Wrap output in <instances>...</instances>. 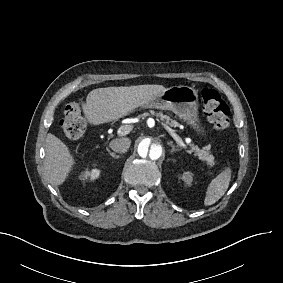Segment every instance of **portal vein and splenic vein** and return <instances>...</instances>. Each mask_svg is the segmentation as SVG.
<instances>
[{"label":"portal vein and splenic vein","mask_w":283,"mask_h":283,"mask_svg":"<svg viewBox=\"0 0 283 283\" xmlns=\"http://www.w3.org/2000/svg\"><path fill=\"white\" fill-rule=\"evenodd\" d=\"M121 131H124V133H128L130 131V127L129 126H125V127H121L118 129L117 131V135H120ZM169 132L171 133L172 137L175 139V141L177 142V144L186 152L190 153L188 147L186 146V144L183 142V140L172 130L169 129ZM186 143H189V139H186Z\"/></svg>","instance_id":"1"}]
</instances>
